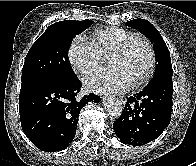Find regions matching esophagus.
Masks as SVG:
<instances>
[{
	"instance_id": "obj_1",
	"label": "esophagus",
	"mask_w": 196,
	"mask_h": 166,
	"mask_svg": "<svg viewBox=\"0 0 196 166\" xmlns=\"http://www.w3.org/2000/svg\"><path fill=\"white\" fill-rule=\"evenodd\" d=\"M103 99H105V96H102ZM120 100L125 103V98L124 97H120Z\"/></svg>"
}]
</instances>
